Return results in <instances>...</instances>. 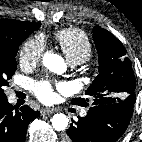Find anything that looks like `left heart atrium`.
Returning a JSON list of instances; mask_svg holds the SVG:
<instances>
[{
	"label": "left heart atrium",
	"instance_id": "1",
	"mask_svg": "<svg viewBox=\"0 0 142 142\" xmlns=\"http://www.w3.org/2000/svg\"><path fill=\"white\" fill-rule=\"evenodd\" d=\"M31 89L34 95L43 102H49L53 98L54 87L49 81L34 82L31 85Z\"/></svg>",
	"mask_w": 142,
	"mask_h": 142
}]
</instances>
